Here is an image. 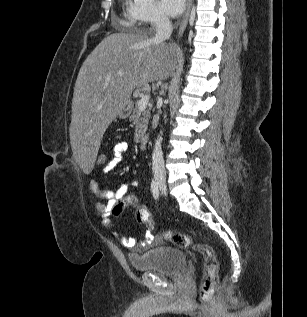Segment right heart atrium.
I'll list each match as a JSON object with an SVG mask.
<instances>
[{"mask_svg":"<svg viewBox=\"0 0 307 317\" xmlns=\"http://www.w3.org/2000/svg\"><path fill=\"white\" fill-rule=\"evenodd\" d=\"M131 12L135 20L145 25L163 26L167 23L155 0H133Z\"/></svg>","mask_w":307,"mask_h":317,"instance_id":"d8ad5b80","label":"right heart atrium"}]
</instances>
